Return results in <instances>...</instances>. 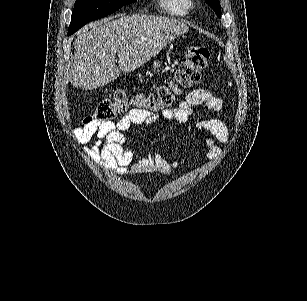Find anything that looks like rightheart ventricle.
<instances>
[{
    "instance_id": "1",
    "label": "right heart ventricle",
    "mask_w": 307,
    "mask_h": 301,
    "mask_svg": "<svg viewBox=\"0 0 307 301\" xmlns=\"http://www.w3.org/2000/svg\"><path fill=\"white\" fill-rule=\"evenodd\" d=\"M162 5H159V12H162L163 17H182V10H180L178 3L180 0H161Z\"/></svg>"
}]
</instances>
